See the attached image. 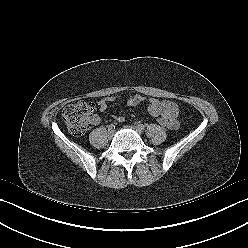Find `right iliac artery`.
I'll return each mask as SVG.
<instances>
[{
  "mask_svg": "<svg viewBox=\"0 0 248 248\" xmlns=\"http://www.w3.org/2000/svg\"><path fill=\"white\" fill-rule=\"evenodd\" d=\"M116 127V123H111L109 126H108V130H114Z\"/></svg>",
  "mask_w": 248,
  "mask_h": 248,
  "instance_id": "1",
  "label": "right iliac artery"
}]
</instances>
